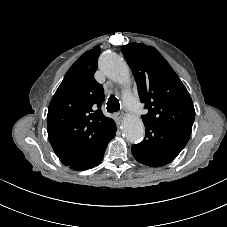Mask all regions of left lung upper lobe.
Here are the masks:
<instances>
[{
  "label": "left lung upper lobe",
  "mask_w": 227,
  "mask_h": 227,
  "mask_svg": "<svg viewBox=\"0 0 227 227\" xmlns=\"http://www.w3.org/2000/svg\"><path fill=\"white\" fill-rule=\"evenodd\" d=\"M145 103L144 125H154L189 140L195 119L192 99L175 71L151 46L129 43L122 47Z\"/></svg>",
  "instance_id": "left-lung-upper-lobe-1"
}]
</instances>
